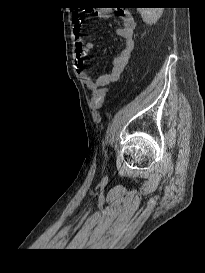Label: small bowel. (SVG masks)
Wrapping results in <instances>:
<instances>
[{
  "mask_svg": "<svg viewBox=\"0 0 205 273\" xmlns=\"http://www.w3.org/2000/svg\"><path fill=\"white\" fill-rule=\"evenodd\" d=\"M111 16L112 10L110 9H101L98 13V17L101 19H108ZM119 17L122 25L117 29V34L123 39V46L113 60L112 70L100 75L97 79H93L83 69V66L84 58L94 49L95 45L92 41L84 40L81 31L83 24L82 15L77 12L72 14L73 33L76 39L75 51L77 71L87 88L94 94L101 88L116 82L120 78L133 51V34L136 26L135 20L130 13L125 11L119 12Z\"/></svg>",
  "mask_w": 205,
  "mask_h": 273,
  "instance_id": "small-bowel-1",
  "label": "small bowel"
}]
</instances>
